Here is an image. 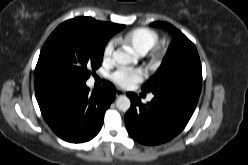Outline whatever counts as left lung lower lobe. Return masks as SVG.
I'll list each match as a JSON object with an SVG mask.
<instances>
[{"label":"left lung lower lobe","instance_id":"0a47b994","mask_svg":"<svg viewBox=\"0 0 248 165\" xmlns=\"http://www.w3.org/2000/svg\"><path fill=\"white\" fill-rule=\"evenodd\" d=\"M131 107L125 114L129 135L139 143L156 145L178 135L191 118L198 96L154 95L151 102L142 104L134 93H127Z\"/></svg>","mask_w":248,"mask_h":165}]
</instances>
